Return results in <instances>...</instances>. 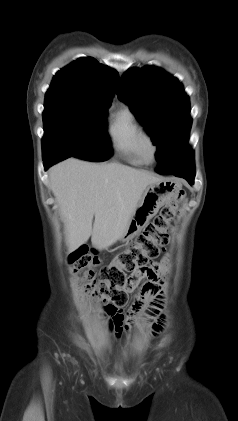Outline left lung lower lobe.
Wrapping results in <instances>:
<instances>
[{
  "instance_id": "left-lung-lower-lobe-1",
  "label": "left lung lower lobe",
  "mask_w": 238,
  "mask_h": 421,
  "mask_svg": "<svg viewBox=\"0 0 238 421\" xmlns=\"http://www.w3.org/2000/svg\"><path fill=\"white\" fill-rule=\"evenodd\" d=\"M167 174H173L177 177H182L184 179H186L189 184H193L194 183V177H195V167H194V163L180 168V169H176V170H169L167 172Z\"/></svg>"
}]
</instances>
